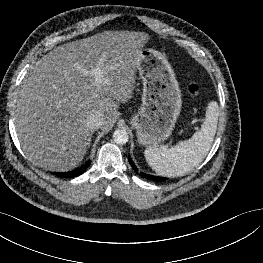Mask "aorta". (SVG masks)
Listing matches in <instances>:
<instances>
[{
    "label": "aorta",
    "instance_id": "1",
    "mask_svg": "<svg viewBox=\"0 0 263 263\" xmlns=\"http://www.w3.org/2000/svg\"><path fill=\"white\" fill-rule=\"evenodd\" d=\"M113 140L116 144L124 145L128 142L129 136L126 130L116 129L113 133Z\"/></svg>",
    "mask_w": 263,
    "mask_h": 263
}]
</instances>
